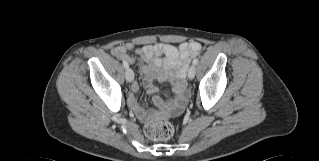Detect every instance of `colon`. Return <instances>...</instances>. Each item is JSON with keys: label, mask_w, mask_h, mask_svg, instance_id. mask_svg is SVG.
<instances>
[{"label": "colon", "mask_w": 319, "mask_h": 161, "mask_svg": "<svg viewBox=\"0 0 319 161\" xmlns=\"http://www.w3.org/2000/svg\"><path fill=\"white\" fill-rule=\"evenodd\" d=\"M144 131L149 139L167 140L173 135L174 128L166 118H159L149 122Z\"/></svg>", "instance_id": "5ec220e1"}]
</instances>
